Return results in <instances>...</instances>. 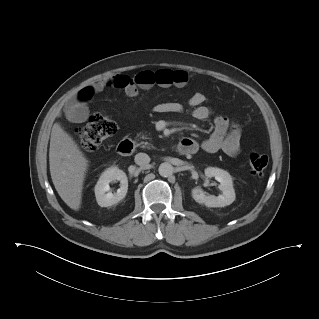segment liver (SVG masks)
Here are the masks:
<instances>
[{
  "mask_svg": "<svg viewBox=\"0 0 319 319\" xmlns=\"http://www.w3.org/2000/svg\"><path fill=\"white\" fill-rule=\"evenodd\" d=\"M49 164L52 182L61 199L79 210L88 160L73 138L54 124L50 138Z\"/></svg>",
  "mask_w": 319,
  "mask_h": 319,
  "instance_id": "liver-1",
  "label": "liver"
}]
</instances>
